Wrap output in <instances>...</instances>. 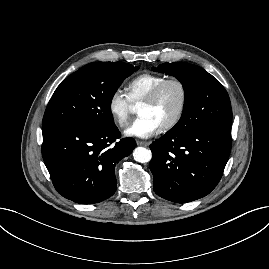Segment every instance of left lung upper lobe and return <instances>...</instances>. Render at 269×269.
Instances as JSON below:
<instances>
[{
    "mask_svg": "<svg viewBox=\"0 0 269 269\" xmlns=\"http://www.w3.org/2000/svg\"><path fill=\"white\" fill-rule=\"evenodd\" d=\"M160 73L175 76L185 90V106L179 122L169 133L186 134L194 129L232 124L231 103L225 88L199 66L183 63H164Z\"/></svg>",
    "mask_w": 269,
    "mask_h": 269,
    "instance_id": "5c2ea615",
    "label": "left lung upper lobe"
}]
</instances>
